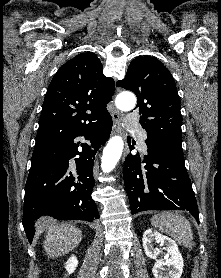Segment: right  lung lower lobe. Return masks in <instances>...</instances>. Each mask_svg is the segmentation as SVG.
<instances>
[{
  "label": "right lung lower lobe",
  "mask_w": 221,
  "mask_h": 278,
  "mask_svg": "<svg viewBox=\"0 0 221 278\" xmlns=\"http://www.w3.org/2000/svg\"><path fill=\"white\" fill-rule=\"evenodd\" d=\"M111 115L82 126L38 150L32 157L25 185L23 226L29 242L34 236V221L42 215L56 219L92 222L99 213L91 194L95 184V154L109 138ZM83 136L87 143H75ZM81 146L79 152L77 147ZM75 158L73 163L72 157Z\"/></svg>",
  "instance_id": "right-lung-lower-lobe-1"
}]
</instances>
